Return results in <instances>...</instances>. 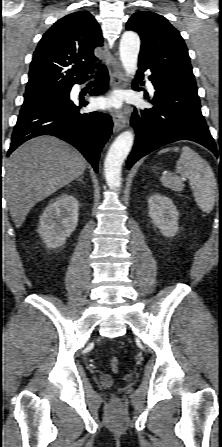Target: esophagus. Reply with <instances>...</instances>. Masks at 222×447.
Listing matches in <instances>:
<instances>
[{
  "mask_svg": "<svg viewBox=\"0 0 222 447\" xmlns=\"http://www.w3.org/2000/svg\"><path fill=\"white\" fill-rule=\"evenodd\" d=\"M111 76H112L113 87L121 86L125 81V75L123 69L115 57L112 58L111 62ZM127 121H128L127 112H120V111L115 112L113 114L114 133H118L123 128H125Z\"/></svg>",
  "mask_w": 222,
  "mask_h": 447,
  "instance_id": "34e87169",
  "label": "esophagus"
}]
</instances>
